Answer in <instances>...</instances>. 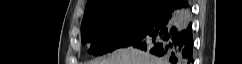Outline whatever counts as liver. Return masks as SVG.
<instances>
[{
	"label": "liver",
	"mask_w": 242,
	"mask_h": 64,
	"mask_svg": "<svg viewBox=\"0 0 242 64\" xmlns=\"http://www.w3.org/2000/svg\"><path fill=\"white\" fill-rule=\"evenodd\" d=\"M87 64H164L163 59L132 47L118 49L106 58H97Z\"/></svg>",
	"instance_id": "6515ba94"
}]
</instances>
